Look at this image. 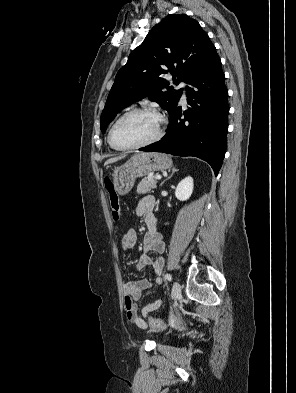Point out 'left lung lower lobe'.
Instances as JSON below:
<instances>
[{"label":"left lung lower lobe","mask_w":296,"mask_h":393,"mask_svg":"<svg viewBox=\"0 0 296 393\" xmlns=\"http://www.w3.org/2000/svg\"><path fill=\"white\" fill-rule=\"evenodd\" d=\"M185 119L176 106L170 115L166 135L158 142L140 148V151L170 153L177 156H195L208 162L218 174L227 146L228 90L221 60L212 51L206 61L188 80Z\"/></svg>","instance_id":"left-lung-lower-lobe-1"}]
</instances>
